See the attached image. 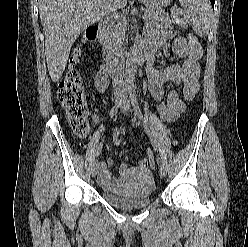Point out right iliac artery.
I'll list each match as a JSON object with an SVG mask.
<instances>
[{
	"label": "right iliac artery",
	"instance_id": "right-iliac-artery-1",
	"mask_svg": "<svg viewBox=\"0 0 248 247\" xmlns=\"http://www.w3.org/2000/svg\"><path fill=\"white\" fill-rule=\"evenodd\" d=\"M126 91H127V88H125L123 90V93H126ZM120 105H121V100L118 103H116L113 106V108L110 110V119H114L117 116L118 109L120 108ZM101 148H102V146L97 149L96 154H95L96 157L100 154Z\"/></svg>",
	"mask_w": 248,
	"mask_h": 247
}]
</instances>
